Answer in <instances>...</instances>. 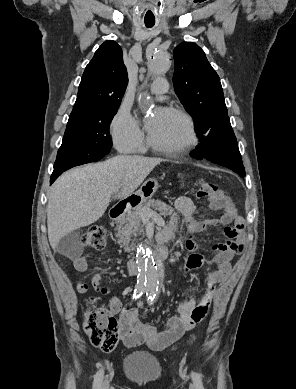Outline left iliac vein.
<instances>
[{"label": "left iliac vein", "instance_id": "obj_1", "mask_svg": "<svg viewBox=\"0 0 296 389\" xmlns=\"http://www.w3.org/2000/svg\"><path fill=\"white\" fill-rule=\"evenodd\" d=\"M190 389H195V386L193 384H190Z\"/></svg>", "mask_w": 296, "mask_h": 389}]
</instances>
